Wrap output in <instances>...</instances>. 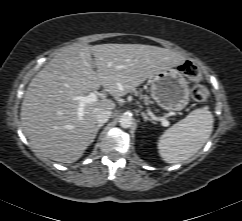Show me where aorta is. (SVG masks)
<instances>
[{"instance_id": "1", "label": "aorta", "mask_w": 242, "mask_h": 221, "mask_svg": "<svg viewBox=\"0 0 242 221\" xmlns=\"http://www.w3.org/2000/svg\"><path fill=\"white\" fill-rule=\"evenodd\" d=\"M119 123L122 128H129L133 124V118L129 114H123L119 119Z\"/></svg>"}]
</instances>
